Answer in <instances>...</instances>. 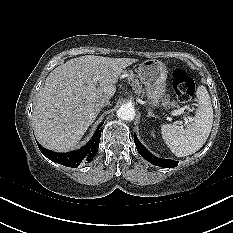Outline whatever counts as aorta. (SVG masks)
Returning <instances> with one entry per match:
<instances>
[{"instance_id": "obj_1", "label": "aorta", "mask_w": 233, "mask_h": 233, "mask_svg": "<svg viewBox=\"0 0 233 233\" xmlns=\"http://www.w3.org/2000/svg\"><path fill=\"white\" fill-rule=\"evenodd\" d=\"M117 116L122 120L132 121L135 118V109L130 104H124L117 110Z\"/></svg>"}]
</instances>
